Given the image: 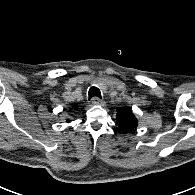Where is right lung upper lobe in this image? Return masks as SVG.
<instances>
[{
    "label": "right lung upper lobe",
    "mask_w": 195,
    "mask_h": 195,
    "mask_svg": "<svg viewBox=\"0 0 195 195\" xmlns=\"http://www.w3.org/2000/svg\"><path fill=\"white\" fill-rule=\"evenodd\" d=\"M73 108L76 109L77 108V105H74ZM67 122H70V120H67Z\"/></svg>",
    "instance_id": "1"
}]
</instances>
